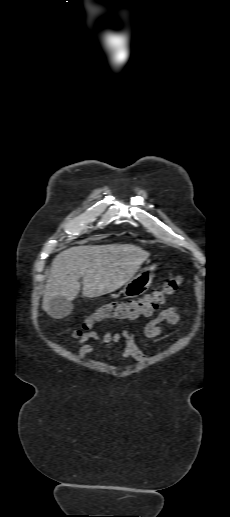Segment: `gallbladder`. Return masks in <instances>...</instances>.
Instances as JSON below:
<instances>
[{
  "instance_id": "gallbladder-1",
  "label": "gallbladder",
  "mask_w": 230,
  "mask_h": 517,
  "mask_svg": "<svg viewBox=\"0 0 230 517\" xmlns=\"http://www.w3.org/2000/svg\"><path fill=\"white\" fill-rule=\"evenodd\" d=\"M73 304L63 297H55L49 303L48 314L54 318H63L71 313Z\"/></svg>"
}]
</instances>
